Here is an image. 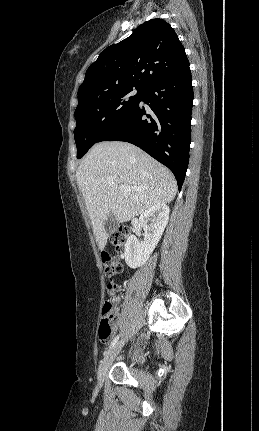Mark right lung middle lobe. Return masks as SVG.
Returning a JSON list of instances; mask_svg holds the SVG:
<instances>
[{"instance_id":"obj_1","label":"right lung middle lobe","mask_w":259,"mask_h":431,"mask_svg":"<svg viewBox=\"0 0 259 431\" xmlns=\"http://www.w3.org/2000/svg\"><path fill=\"white\" fill-rule=\"evenodd\" d=\"M134 90H137L136 95H133ZM144 91L134 87L120 88L90 96L78 104L74 113L78 159L140 102Z\"/></svg>"}]
</instances>
